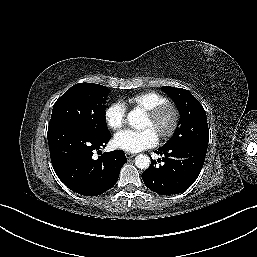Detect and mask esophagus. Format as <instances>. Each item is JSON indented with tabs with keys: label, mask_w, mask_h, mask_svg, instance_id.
I'll return each instance as SVG.
<instances>
[{
	"label": "esophagus",
	"mask_w": 257,
	"mask_h": 257,
	"mask_svg": "<svg viewBox=\"0 0 257 257\" xmlns=\"http://www.w3.org/2000/svg\"><path fill=\"white\" fill-rule=\"evenodd\" d=\"M125 155H126V158H127V159H130V158H132V157L135 156L134 153H130V152H126Z\"/></svg>",
	"instance_id": "esophagus-1"
}]
</instances>
